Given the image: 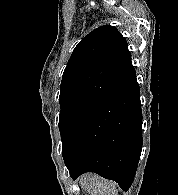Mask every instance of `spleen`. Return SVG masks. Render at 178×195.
<instances>
[{
    "mask_svg": "<svg viewBox=\"0 0 178 195\" xmlns=\"http://www.w3.org/2000/svg\"><path fill=\"white\" fill-rule=\"evenodd\" d=\"M81 186L90 195H118L116 185L97 175H86L81 179Z\"/></svg>",
    "mask_w": 178,
    "mask_h": 195,
    "instance_id": "spleen-1",
    "label": "spleen"
}]
</instances>
